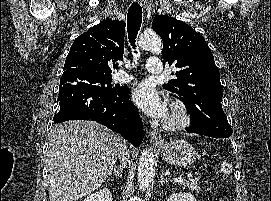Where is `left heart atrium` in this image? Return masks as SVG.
I'll list each match as a JSON object with an SVG mask.
<instances>
[{
  "label": "left heart atrium",
  "mask_w": 271,
  "mask_h": 201,
  "mask_svg": "<svg viewBox=\"0 0 271 201\" xmlns=\"http://www.w3.org/2000/svg\"><path fill=\"white\" fill-rule=\"evenodd\" d=\"M132 99L141 110L151 117L164 118L168 114L166 100L150 82L139 84L133 92Z\"/></svg>",
  "instance_id": "left-heart-atrium-1"
}]
</instances>
